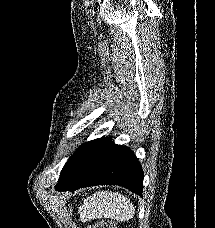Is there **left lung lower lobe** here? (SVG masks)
<instances>
[{
    "mask_svg": "<svg viewBox=\"0 0 215 228\" xmlns=\"http://www.w3.org/2000/svg\"><path fill=\"white\" fill-rule=\"evenodd\" d=\"M120 185L142 196L143 170L127 147L102 137L82 144L64 165L57 191L95 185Z\"/></svg>",
    "mask_w": 215,
    "mask_h": 228,
    "instance_id": "0a47b994",
    "label": "left lung lower lobe"
}]
</instances>
